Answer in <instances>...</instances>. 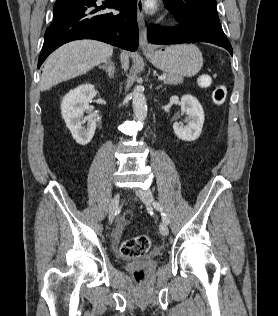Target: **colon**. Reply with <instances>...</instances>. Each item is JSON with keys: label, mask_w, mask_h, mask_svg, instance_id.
<instances>
[{"label": "colon", "mask_w": 278, "mask_h": 316, "mask_svg": "<svg viewBox=\"0 0 278 316\" xmlns=\"http://www.w3.org/2000/svg\"><path fill=\"white\" fill-rule=\"evenodd\" d=\"M200 85H208L209 78L201 76L199 78ZM227 97V87L223 84H218L212 88V100L216 105H222ZM151 246V240L147 235H140L124 241L121 245L120 252L124 257L134 258L145 255ZM135 279L138 283L144 280V272L138 270L135 272Z\"/></svg>", "instance_id": "1"}]
</instances>
